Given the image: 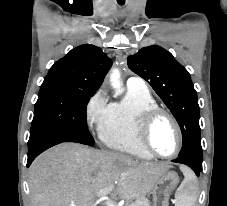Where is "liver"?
<instances>
[{"label": "liver", "instance_id": "6515ba94", "mask_svg": "<svg viewBox=\"0 0 227 206\" xmlns=\"http://www.w3.org/2000/svg\"><path fill=\"white\" fill-rule=\"evenodd\" d=\"M78 143H62L39 155L29 169L31 206H94L100 190L130 201L152 190L169 170Z\"/></svg>", "mask_w": 227, "mask_h": 206}]
</instances>
